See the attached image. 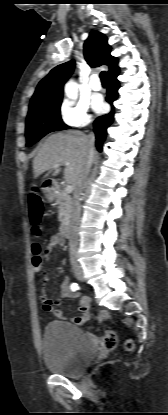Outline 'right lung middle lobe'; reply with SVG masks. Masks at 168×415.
Here are the masks:
<instances>
[{
    "mask_svg": "<svg viewBox=\"0 0 168 415\" xmlns=\"http://www.w3.org/2000/svg\"><path fill=\"white\" fill-rule=\"evenodd\" d=\"M61 102L62 100H58L29 110L26 120L27 147L50 132L69 128L61 119Z\"/></svg>",
    "mask_w": 168,
    "mask_h": 415,
    "instance_id": "dd1d6c3e",
    "label": "right lung middle lobe"
}]
</instances>
